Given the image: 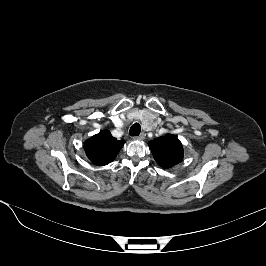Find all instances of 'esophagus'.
<instances>
[{
  "label": "esophagus",
  "instance_id": "obj_1",
  "mask_svg": "<svg viewBox=\"0 0 266 266\" xmlns=\"http://www.w3.org/2000/svg\"><path fill=\"white\" fill-rule=\"evenodd\" d=\"M136 139H139V140H144L145 139V134L144 133H141L140 135L138 136H135Z\"/></svg>",
  "mask_w": 266,
  "mask_h": 266
}]
</instances>
